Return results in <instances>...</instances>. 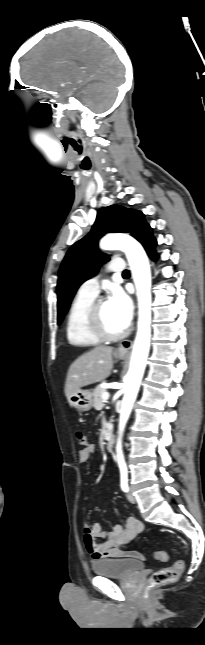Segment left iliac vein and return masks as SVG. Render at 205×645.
I'll list each match as a JSON object with an SVG mask.
<instances>
[{
	"instance_id": "4c4485c4",
	"label": "left iliac vein",
	"mask_w": 205,
	"mask_h": 645,
	"mask_svg": "<svg viewBox=\"0 0 205 645\" xmlns=\"http://www.w3.org/2000/svg\"><path fill=\"white\" fill-rule=\"evenodd\" d=\"M127 499H128L131 503H136V498H135V496L132 494V492H131V491H129V492L127 493Z\"/></svg>"
}]
</instances>
